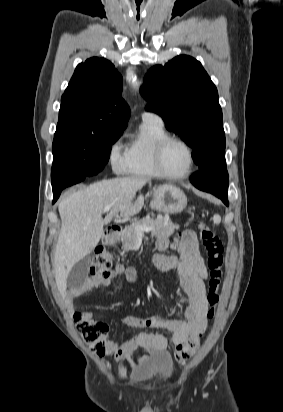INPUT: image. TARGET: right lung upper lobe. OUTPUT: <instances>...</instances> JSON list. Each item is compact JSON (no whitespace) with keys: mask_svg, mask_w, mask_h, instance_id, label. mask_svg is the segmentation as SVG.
<instances>
[{"mask_svg":"<svg viewBox=\"0 0 283 412\" xmlns=\"http://www.w3.org/2000/svg\"><path fill=\"white\" fill-rule=\"evenodd\" d=\"M114 65L93 57L80 63L61 98L59 120L75 119L97 133L123 132L130 110Z\"/></svg>","mask_w":283,"mask_h":412,"instance_id":"cb5924a9","label":"right lung upper lobe"}]
</instances>
